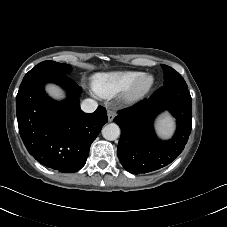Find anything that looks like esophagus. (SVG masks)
Segmentation results:
<instances>
[{"label": "esophagus", "mask_w": 227, "mask_h": 227, "mask_svg": "<svg viewBox=\"0 0 227 227\" xmlns=\"http://www.w3.org/2000/svg\"><path fill=\"white\" fill-rule=\"evenodd\" d=\"M115 115H116L115 111L110 110V109L107 111V116H108L109 122H112L113 121Z\"/></svg>", "instance_id": "34e87169"}]
</instances>
